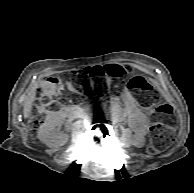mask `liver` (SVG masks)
Returning <instances> with one entry per match:
<instances>
[{"instance_id": "1", "label": "liver", "mask_w": 194, "mask_h": 193, "mask_svg": "<svg viewBox=\"0 0 194 193\" xmlns=\"http://www.w3.org/2000/svg\"><path fill=\"white\" fill-rule=\"evenodd\" d=\"M35 100V91H32L29 93L24 106H23V115L24 118L29 117L30 113H31V109H32V104Z\"/></svg>"}]
</instances>
